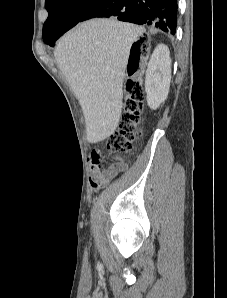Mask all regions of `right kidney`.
<instances>
[{"instance_id":"obj_1","label":"right kidney","mask_w":227,"mask_h":298,"mask_svg":"<svg viewBox=\"0 0 227 298\" xmlns=\"http://www.w3.org/2000/svg\"><path fill=\"white\" fill-rule=\"evenodd\" d=\"M171 80L170 52L166 45L159 44L148 63L145 91L147 103L151 109H157L169 93Z\"/></svg>"}]
</instances>
